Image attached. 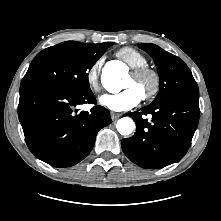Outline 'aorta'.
<instances>
[{
    "instance_id": "aorta-1",
    "label": "aorta",
    "mask_w": 221,
    "mask_h": 221,
    "mask_svg": "<svg viewBox=\"0 0 221 221\" xmlns=\"http://www.w3.org/2000/svg\"><path fill=\"white\" fill-rule=\"evenodd\" d=\"M125 71L114 65H106L102 74L103 86L112 93L119 92L122 89L121 78L124 76ZM117 131L124 136L130 135L134 128L135 123L129 117H123L117 121Z\"/></svg>"
}]
</instances>
